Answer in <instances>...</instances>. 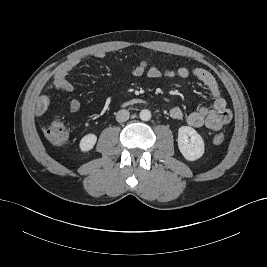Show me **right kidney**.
Wrapping results in <instances>:
<instances>
[{
  "instance_id": "obj_1",
  "label": "right kidney",
  "mask_w": 267,
  "mask_h": 267,
  "mask_svg": "<svg viewBox=\"0 0 267 267\" xmlns=\"http://www.w3.org/2000/svg\"><path fill=\"white\" fill-rule=\"evenodd\" d=\"M97 141V137L93 133L86 134L80 141V149L82 152L90 151Z\"/></svg>"
}]
</instances>
